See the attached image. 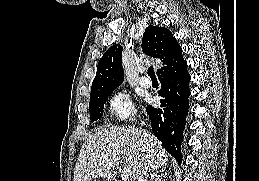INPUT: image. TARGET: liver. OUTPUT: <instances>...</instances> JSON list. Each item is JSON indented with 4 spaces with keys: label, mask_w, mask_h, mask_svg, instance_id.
Returning <instances> with one entry per match:
<instances>
[{
    "label": "liver",
    "mask_w": 259,
    "mask_h": 181,
    "mask_svg": "<svg viewBox=\"0 0 259 181\" xmlns=\"http://www.w3.org/2000/svg\"><path fill=\"white\" fill-rule=\"evenodd\" d=\"M123 156L131 170L130 181H137L143 166L158 171L168 160L161 142L151 133L135 127L101 128L86 138L73 181H90L96 177L111 181L121 170Z\"/></svg>",
    "instance_id": "liver-1"
}]
</instances>
